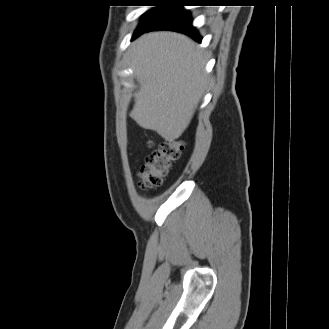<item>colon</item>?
<instances>
[{"instance_id": "5ec220e1", "label": "colon", "mask_w": 329, "mask_h": 329, "mask_svg": "<svg viewBox=\"0 0 329 329\" xmlns=\"http://www.w3.org/2000/svg\"><path fill=\"white\" fill-rule=\"evenodd\" d=\"M147 147L152 146L150 140L145 141ZM185 145L182 141L166 139L147 156L139 172L138 186L141 189L160 187L174 163L182 156Z\"/></svg>"}]
</instances>
